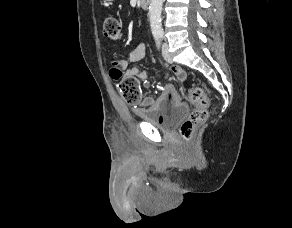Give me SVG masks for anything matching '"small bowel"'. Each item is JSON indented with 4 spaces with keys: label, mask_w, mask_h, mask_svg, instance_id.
<instances>
[{
    "label": "small bowel",
    "mask_w": 292,
    "mask_h": 228,
    "mask_svg": "<svg viewBox=\"0 0 292 228\" xmlns=\"http://www.w3.org/2000/svg\"><path fill=\"white\" fill-rule=\"evenodd\" d=\"M146 57V47L144 44H139L132 49L126 58L116 61V67L122 72L123 77H134L147 84L148 74L146 71L137 67L127 68L129 62H138ZM175 75L180 81L187 80L186 72L179 66H171L170 71L166 72L165 77ZM180 101L179 94L172 84H167L158 97L146 96L134 106V112L142 117L145 115L157 114L165 108L175 105Z\"/></svg>",
    "instance_id": "c3829d8e"
}]
</instances>
